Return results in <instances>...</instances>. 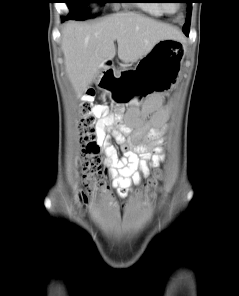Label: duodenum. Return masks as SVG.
I'll return each mask as SVG.
<instances>
[{
	"label": "duodenum",
	"mask_w": 239,
	"mask_h": 296,
	"mask_svg": "<svg viewBox=\"0 0 239 296\" xmlns=\"http://www.w3.org/2000/svg\"><path fill=\"white\" fill-rule=\"evenodd\" d=\"M107 71L106 73L104 74V76L101 78V82L103 83H110L112 80H113V76H114V73H113V65L111 63V61H108L107 62Z\"/></svg>",
	"instance_id": "duodenum-1"
}]
</instances>
